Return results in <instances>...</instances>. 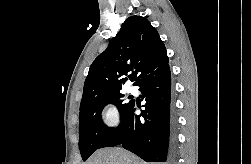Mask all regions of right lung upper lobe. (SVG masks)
<instances>
[{"instance_id": "1", "label": "right lung upper lobe", "mask_w": 251, "mask_h": 164, "mask_svg": "<svg viewBox=\"0 0 251 164\" xmlns=\"http://www.w3.org/2000/svg\"><path fill=\"white\" fill-rule=\"evenodd\" d=\"M167 64L166 48L157 30L145 17L127 18L107 49L91 64L80 108L102 96L120 92L128 72L135 70L136 86L147 74Z\"/></svg>"}]
</instances>
